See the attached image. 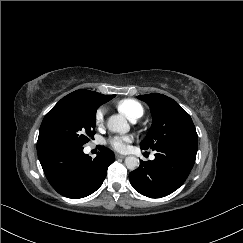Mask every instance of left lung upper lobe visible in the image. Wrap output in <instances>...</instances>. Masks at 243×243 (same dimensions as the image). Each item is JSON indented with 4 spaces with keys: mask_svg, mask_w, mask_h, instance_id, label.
<instances>
[{
    "mask_svg": "<svg viewBox=\"0 0 243 243\" xmlns=\"http://www.w3.org/2000/svg\"><path fill=\"white\" fill-rule=\"evenodd\" d=\"M145 101L152 114V125L141 149L157 150L163 144L186 137H197L190 115L173 99L162 94L138 96Z\"/></svg>",
    "mask_w": 243,
    "mask_h": 243,
    "instance_id": "obj_1",
    "label": "left lung upper lobe"
}]
</instances>
